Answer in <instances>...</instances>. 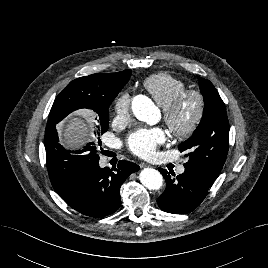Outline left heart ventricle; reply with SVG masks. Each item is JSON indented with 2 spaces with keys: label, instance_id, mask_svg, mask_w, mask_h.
Listing matches in <instances>:
<instances>
[{
  "label": "left heart ventricle",
  "instance_id": "b2bd125f",
  "mask_svg": "<svg viewBox=\"0 0 268 268\" xmlns=\"http://www.w3.org/2000/svg\"><path fill=\"white\" fill-rule=\"evenodd\" d=\"M195 107L196 103L193 98H189L185 101L179 115V120L182 125H185L192 118Z\"/></svg>",
  "mask_w": 268,
  "mask_h": 268
}]
</instances>
